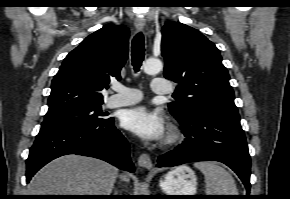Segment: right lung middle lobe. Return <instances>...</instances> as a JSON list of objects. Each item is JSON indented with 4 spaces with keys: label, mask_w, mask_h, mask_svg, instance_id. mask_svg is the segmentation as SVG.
Masks as SVG:
<instances>
[{
    "label": "right lung middle lobe",
    "mask_w": 290,
    "mask_h": 199,
    "mask_svg": "<svg viewBox=\"0 0 290 199\" xmlns=\"http://www.w3.org/2000/svg\"><path fill=\"white\" fill-rule=\"evenodd\" d=\"M102 104L97 103L63 112L46 114L41 128L106 122L109 118L106 117L105 113H102Z\"/></svg>",
    "instance_id": "dd1d6c3e"
}]
</instances>
